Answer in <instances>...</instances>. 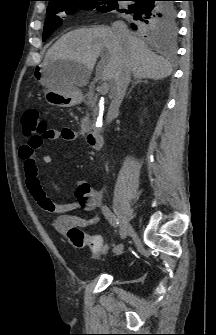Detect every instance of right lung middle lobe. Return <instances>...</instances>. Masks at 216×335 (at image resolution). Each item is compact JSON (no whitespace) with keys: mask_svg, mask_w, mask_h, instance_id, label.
I'll list each match as a JSON object with an SVG mask.
<instances>
[{"mask_svg":"<svg viewBox=\"0 0 216 335\" xmlns=\"http://www.w3.org/2000/svg\"><path fill=\"white\" fill-rule=\"evenodd\" d=\"M119 0H62L49 4L47 8V18L44 25L43 41H45L54 30H56L63 22L59 17L60 12H65L70 15L79 9H97L101 12H109L119 6ZM168 8H175L173 2H166L164 4ZM132 19V15L127 16ZM140 29V28H139ZM150 34H166L174 35L177 31L176 25L172 28H162L160 24H153L144 29H141Z\"/></svg>","mask_w":216,"mask_h":335,"instance_id":"dd1d6c3e","label":"right lung middle lobe"}]
</instances>
